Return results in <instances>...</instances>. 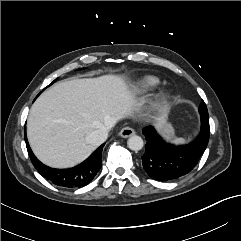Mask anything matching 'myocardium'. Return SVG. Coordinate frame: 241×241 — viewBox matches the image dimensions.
<instances>
[{
	"mask_svg": "<svg viewBox=\"0 0 241 241\" xmlns=\"http://www.w3.org/2000/svg\"><path fill=\"white\" fill-rule=\"evenodd\" d=\"M169 101V95L166 93H160L155 97L153 107L157 111L163 110Z\"/></svg>",
	"mask_w": 241,
	"mask_h": 241,
	"instance_id": "myocardium-1",
	"label": "myocardium"
}]
</instances>
